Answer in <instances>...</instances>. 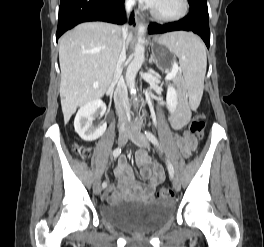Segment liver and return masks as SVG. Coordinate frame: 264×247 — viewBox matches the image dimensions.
I'll return each instance as SVG.
<instances>
[{
    "label": "liver",
    "instance_id": "6515ba94",
    "mask_svg": "<svg viewBox=\"0 0 264 247\" xmlns=\"http://www.w3.org/2000/svg\"><path fill=\"white\" fill-rule=\"evenodd\" d=\"M123 38L128 47L132 33L124 36L120 27L103 22L79 24L60 38V97L65 124L78 107L105 94Z\"/></svg>",
    "mask_w": 264,
    "mask_h": 247
}]
</instances>
